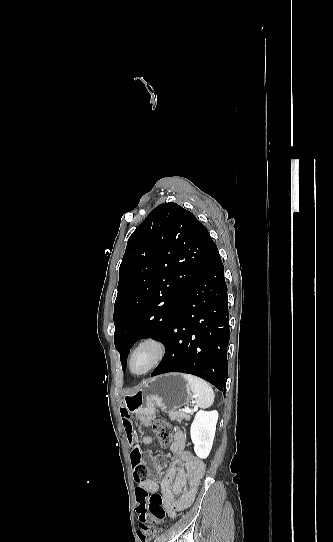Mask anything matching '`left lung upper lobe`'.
<instances>
[{
    "label": "left lung upper lobe",
    "instance_id": "1",
    "mask_svg": "<svg viewBox=\"0 0 333 542\" xmlns=\"http://www.w3.org/2000/svg\"><path fill=\"white\" fill-rule=\"evenodd\" d=\"M213 243L191 212L171 202L157 206L132 233L119 268L113 318L123 372L136 341L150 335L164 341Z\"/></svg>",
    "mask_w": 333,
    "mask_h": 542
}]
</instances>
